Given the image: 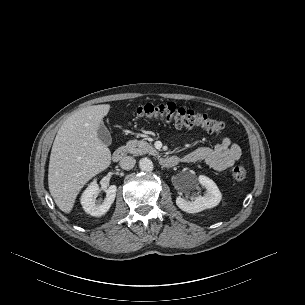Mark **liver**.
Here are the masks:
<instances>
[{"label":"liver","mask_w":305,"mask_h":305,"mask_svg":"<svg viewBox=\"0 0 305 305\" xmlns=\"http://www.w3.org/2000/svg\"><path fill=\"white\" fill-rule=\"evenodd\" d=\"M109 104L83 108L66 119L55 137L48 169V186L59 209L70 213L81 188L111 163L109 148L98 129Z\"/></svg>","instance_id":"liver-1"}]
</instances>
